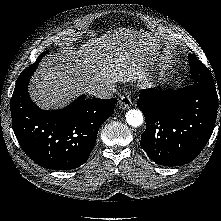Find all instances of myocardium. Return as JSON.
I'll list each match as a JSON object with an SVG mask.
<instances>
[{"label": "myocardium", "instance_id": "1", "mask_svg": "<svg viewBox=\"0 0 221 221\" xmlns=\"http://www.w3.org/2000/svg\"><path fill=\"white\" fill-rule=\"evenodd\" d=\"M170 83H171V79L169 77H162L159 80V85L162 87H166V86L170 85Z\"/></svg>", "mask_w": 221, "mask_h": 221}]
</instances>
